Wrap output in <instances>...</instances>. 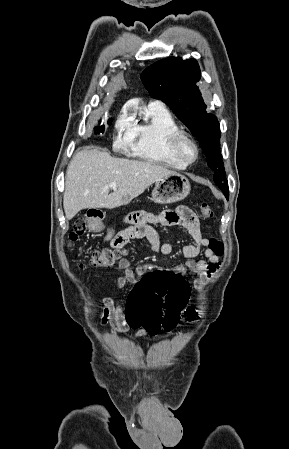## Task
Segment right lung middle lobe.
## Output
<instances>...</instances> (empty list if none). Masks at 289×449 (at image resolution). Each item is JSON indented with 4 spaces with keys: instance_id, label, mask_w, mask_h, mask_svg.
Instances as JSON below:
<instances>
[{
    "instance_id": "obj_1",
    "label": "right lung middle lobe",
    "mask_w": 289,
    "mask_h": 449,
    "mask_svg": "<svg viewBox=\"0 0 289 449\" xmlns=\"http://www.w3.org/2000/svg\"><path fill=\"white\" fill-rule=\"evenodd\" d=\"M111 122H112V119H109V120H108V124H111ZM104 129H105V126H104V125H102L101 127H96V128H95V130L98 131V133H100V132L103 133V132H104Z\"/></svg>"
}]
</instances>
